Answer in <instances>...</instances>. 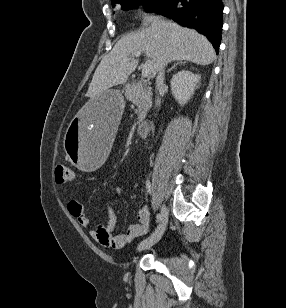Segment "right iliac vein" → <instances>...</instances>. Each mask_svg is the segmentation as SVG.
<instances>
[{
	"label": "right iliac vein",
	"mask_w": 286,
	"mask_h": 308,
	"mask_svg": "<svg viewBox=\"0 0 286 308\" xmlns=\"http://www.w3.org/2000/svg\"><path fill=\"white\" fill-rule=\"evenodd\" d=\"M167 224H168V210L164 205H162L161 206V221L159 223L158 228L149 238L140 242L136 250L140 252V251L146 250L152 247L153 245H155L161 239L167 227Z\"/></svg>",
	"instance_id": "1"
}]
</instances>
